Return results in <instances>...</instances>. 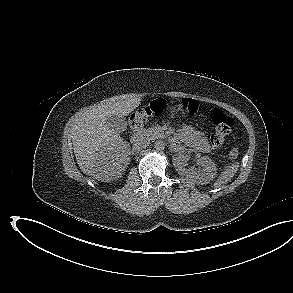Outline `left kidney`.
I'll list each match as a JSON object with an SVG mask.
<instances>
[{"instance_id": "obj_1", "label": "left kidney", "mask_w": 293, "mask_h": 293, "mask_svg": "<svg viewBox=\"0 0 293 293\" xmlns=\"http://www.w3.org/2000/svg\"><path fill=\"white\" fill-rule=\"evenodd\" d=\"M188 160L189 156L184 154H177L173 157V165L179 175L185 176L186 179L196 184H208L215 178L217 173L216 164L209 157H201L197 160L202 167L198 171L193 168H185Z\"/></svg>"}]
</instances>
